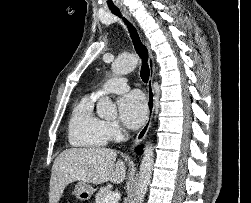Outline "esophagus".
Returning <instances> with one entry per match:
<instances>
[{"label": "esophagus", "instance_id": "34e87169", "mask_svg": "<svg viewBox=\"0 0 251 203\" xmlns=\"http://www.w3.org/2000/svg\"><path fill=\"white\" fill-rule=\"evenodd\" d=\"M124 14L127 17H130V14L128 13V11L124 10ZM146 45L148 49V65H149V70H150L149 81L147 84V118L144 125L142 126L138 134L136 135L134 145H138L145 138L147 132L149 131L151 127V123H152L153 114H154V108H155V101H154L155 93H154V88H153V80L155 77V63H154L152 51L150 49L149 44L147 43Z\"/></svg>", "mask_w": 251, "mask_h": 203}]
</instances>
